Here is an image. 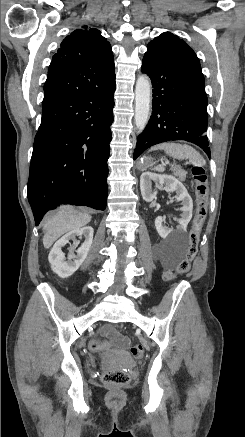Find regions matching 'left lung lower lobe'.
<instances>
[{"mask_svg":"<svg viewBox=\"0 0 245 437\" xmlns=\"http://www.w3.org/2000/svg\"><path fill=\"white\" fill-rule=\"evenodd\" d=\"M153 86V111L139 135L133 159L149 147L171 140L198 145L210 157L207 96L204 76L196 67L160 49H150L142 61Z\"/></svg>","mask_w":245,"mask_h":437,"instance_id":"1","label":"left lung lower lobe"}]
</instances>
